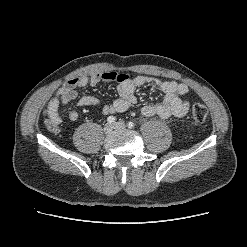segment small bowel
I'll list each match as a JSON object with an SVG mask.
<instances>
[{"mask_svg":"<svg viewBox=\"0 0 247 247\" xmlns=\"http://www.w3.org/2000/svg\"><path fill=\"white\" fill-rule=\"evenodd\" d=\"M109 82L117 83L119 97L103 107L102 112L105 115L128 110L136 102V90L144 85H152L164 94L162 102L147 104L142 107L141 112L144 116H158L166 119L171 116L182 117L188 112L189 102L183 99V96L189 91L187 84L149 76L130 77L126 73L107 71L96 73L90 77L72 78L57 90L50 99L46 110L47 121L53 126L50 130L53 132L59 130V125L62 121L59 115V108L61 105L77 99L78 89ZM77 105L81 107L97 106L99 105V100L93 96H84L78 99ZM68 118L70 121L75 122L79 119V114L77 111H70Z\"/></svg>","mask_w":247,"mask_h":247,"instance_id":"c3829d8e","label":"small bowel"}]
</instances>
